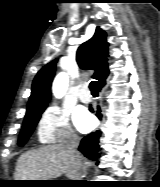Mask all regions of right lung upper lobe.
Wrapping results in <instances>:
<instances>
[{"label":"right lung upper lobe","mask_w":160,"mask_h":187,"mask_svg":"<svg viewBox=\"0 0 160 187\" xmlns=\"http://www.w3.org/2000/svg\"><path fill=\"white\" fill-rule=\"evenodd\" d=\"M106 33L96 28L94 36L83 43L77 50V62L82 69H93L94 79L98 83L104 80L109 74L107 56L108 42ZM57 60H54L44 66L35 76L32 84V93L27 106V113L44 110L50 100V88L55 75V66Z\"/></svg>","instance_id":"1"}]
</instances>
